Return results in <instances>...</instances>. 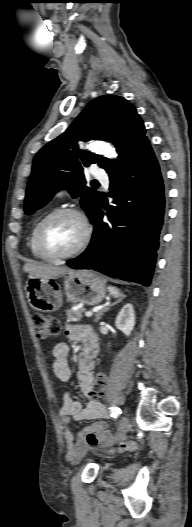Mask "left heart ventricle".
<instances>
[{"label": "left heart ventricle", "instance_id": "1", "mask_svg": "<svg viewBox=\"0 0 192 527\" xmlns=\"http://www.w3.org/2000/svg\"><path fill=\"white\" fill-rule=\"evenodd\" d=\"M83 227L73 215H62L51 222L44 234L46 248L54 254L73 250L81 240Z\"/></svg>", "mask_w": 192, "mask_h": 527}]
</instances>
